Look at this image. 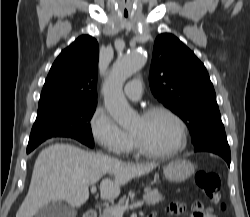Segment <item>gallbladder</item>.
<instances>
[{"label":"gallbladder","mask_w":250,"mask_h":217,"mask_svg":"<svg viewBox=\"0 0 250 217\" xmlns=\"http://www.w3.org/2000/svg\"><path fill=\"white\" fill-rule=\"evenodd\" d=\"M76 215L74 208L61 202H51L43 206L35 217H76Z\"/></svg>","instance_id":"1"}]
</instances>
